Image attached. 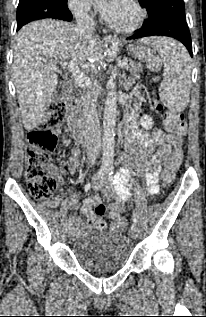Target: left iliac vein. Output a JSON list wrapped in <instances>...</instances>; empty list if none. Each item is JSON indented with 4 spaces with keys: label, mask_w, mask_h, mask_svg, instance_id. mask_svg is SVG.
I'll list each match as a JSON object with an SVG mask.
<instances>
[{
    "label": "left iliac vein",
    "mask_w": 206,
    "mask_h": 317,
    "mask_svg": "<svg viewBox=\"0 0 206 317\" xmlns=\"http://www.w3.org/2000/svg\"><path fill=\"white\" fill-rule=\"evenodd\" d=\"M130 236L134 239L138 236V226L136 223H134L130 228Z\"/></svg>",
    "instance_id": "1"
}]
</instances>
